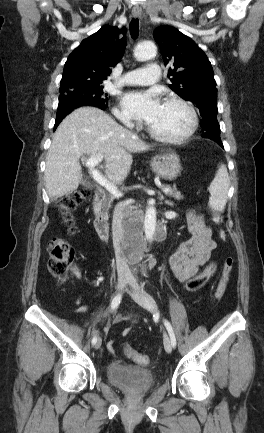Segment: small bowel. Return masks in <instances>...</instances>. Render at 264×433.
I'll use <instances>...</instances> for the list:
<instances>
[{"label": "small bowel", "mask_w": 264, "mask_h": 433, "mask_svg": "<svg viewBox=\"0 0 264 433\" xmlns=\"http://www.w3.org/2000/svg\"><path fill=\"white\" fill-rule=\"evenodd\" d=\"M187 229L189 236L183 240L169 258V265L175 277L186 282L195 276L203 265H205L216 244L212 239L211 230L205 225L202 216L195 213H189L187 216ZM76 277L80 279V274L76 272ZM82 296L76 300V311L79 313L85 312V309L80 307ZM129 328L123 330L122 335L129 332ZM107 332V328L104 329ZM114 341H109L107 349L110 352L114 351Z\"/></svg>", "instance_id": "obj_1"}]
</instances>
